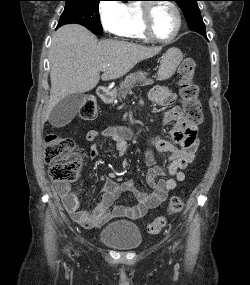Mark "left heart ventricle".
Here are the masks:
<instances>
[{"instance_id":"b2bd125f","label":"left heart ventricle","mask_w":250,"mask_h":285,"mask_svg":"<svg viewBox=\"0 0 250 285\" xmlns=\"http://www.w3.org/2000/svg\"><path fill=\"white\" fill-rule=\"evenodd\" d=\"M177 26V18L172 10L166 4H157L152 12V28L154 33L161 38L170 37Z\"/></svg>"}]
</instances>
